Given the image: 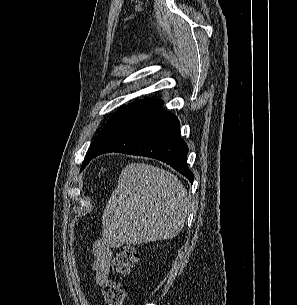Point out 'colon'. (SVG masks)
Here are the masks:
<instances>
[{
    "label": "colon",
    "instance_id": "colon-1",
    "mask_svg": "<svg viewBox=\"0 0 297 305\" xmlns=\"http://www.w3.org/2000/svg\"><path fill=\"white\" fill-rule=\"evenodd\" d=\"M138 261L139 254L135 247L125 246L119 250L113 262V271L117 277L105 283L103 305H125L127 288L121 277L129 275Z\"/></svg>",
    "mask_w": 297,
    "mask_h": 305
}]
</instances>
